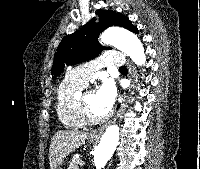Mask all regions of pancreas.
<instances>
[{"label":"pancreas","instance_id":"pancreas-1","mask_svg":"<svg viewBox=\"0 0 200 169\" xmlns=\"http://www.w3.org/2000/svg\"><path fill=\"white\" fill-rule=\"evenodd\" d=\"M81 162L80 158H72L68 169H79V164Z\"/></svg>","mask_w":200,"mask_h":169}]
</instances>
